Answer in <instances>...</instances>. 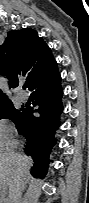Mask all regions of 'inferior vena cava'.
Instances as JSON below:
<instances>
[{
  "instance_id": "obj_1",
  "label": "inferior vena cava",
  "mask_w": 89,
  "mask_h": 203,
  "mask_svg": "<svg viewBox=\"0 0 89 203\" xmlns=\"http://www.w3.org/2000/svg\"><path fill=\"white\" fill-rule=\"evenodd\" d=\"M25 181H26V178H23V181L19 183V187L16 192V196H15V200H14L15 203H22L21 197H22V191L25 187V183H26Z\"/></svg>"
}]
</instances>
